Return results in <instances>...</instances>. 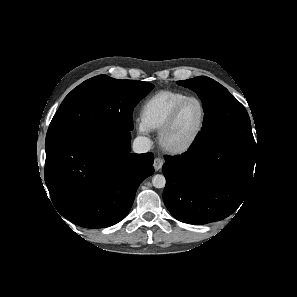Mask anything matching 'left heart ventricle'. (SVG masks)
<instances>
[{
    "label": "left heart ventricle",
    "mask_w": 297,
    "mask_h": 297,
    "mask_svg": "<svg viewBox=\"0 0 297 297\" xmlns=\"http://www.w3.org/2000/svg\"><path fill=\"white\" fill-rule=\"evenodd\" d=\"M202 111L197 102L188 103L180 112L174 126L166 137L167 145L177 147L185 144L197 130Z\"/></svg>",
    "instance_id": "left-heart-ventricle-1"
}]
</instances>
